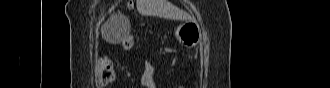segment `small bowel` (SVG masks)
<instances>
[{
  "label": "small bowel",
  "mask_w": 330,
  "mask_h": 88,
  "mask_svg": "<svg viewBox=\"0 0 330 88\" xmlns=\"http://www.w3.org/2000/svg\"><path fill=\"white\" fill-rule=\"evenodd\" d=\"M154 74H155V68L153 64L149 60L144 59L143 74L141 77V81L144 86L148 88H154V82H153Z\"/></svg>",
  "instance_id": "small-bowel-1"
}]
</instances>
